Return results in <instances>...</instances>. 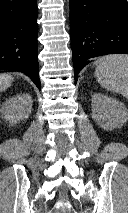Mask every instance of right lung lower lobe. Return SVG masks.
Masks as SVG:
<instances>
[{"label": "right lung lower lobe", "instance_id": "obj_1", "mask_svg": "<svg viewBox=\"0 0 128 213\" xmlns=\"http://www.w3.org/2000/svg\"><path fill=\"white\" fill-rule=\"evenodd\" d=\"M36 0H0V70L28 75L41 89Z\"/></svg>", "mask_w": 128, "mask_h": 213}]
</instances>
